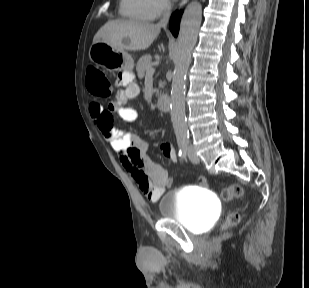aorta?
Masks as SVG:
<instances>
[{"label":"aorta","mask_w":309,"mask_h":288,"mask_svg":"<svg viewBox=\"0 0 309 288\" xmlns=\"http://www.w3.org/2000/svg\"><path fill=\"white\" fill-rule=\"evenodd\" d=\"M201 20L202 6L199 2L194 1L186 7L183 13L174 59L175 67L171 86L170 115L178 140H185L188 137L185 115L186 77Z\"/></svg>","instance_id":"1"}]
</instances>
